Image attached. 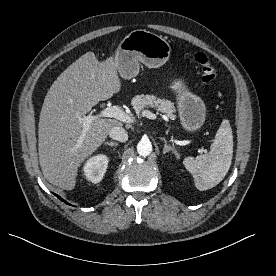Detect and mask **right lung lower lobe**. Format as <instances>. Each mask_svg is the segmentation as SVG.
<instances>
[{"mask_svg":"<svg viewBox=\"0 0 276 276\" xmlns=\"http://www.w3.org/2000/svg\"><path fill=\"white\" fill-rule=\"evenodd\" d=\"M57 196V195H56ZM60 200H62V201H64L62 198H60L59 196H57ZM65 203H67V202H65Z\"/></svg>","mask_w":276,"mask_h":276,"instance_id":"right-lung-lower-lobe-1","label":"right lung lower lobe"}]
</instances>
